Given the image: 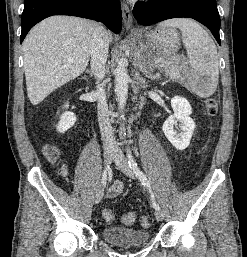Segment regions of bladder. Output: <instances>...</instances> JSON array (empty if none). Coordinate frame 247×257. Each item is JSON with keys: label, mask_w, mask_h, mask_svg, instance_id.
<instances>
[{"label": "bladder", "mask_w": 247, "mask_h": 257, "mask_svg": "<svg viewBox=\"0 0 247 257\" xmlns=\"http://www.w3.org/2000/svg\"><path fill=\"white\" fill-rule=\"evenodd\" d=\"M101 235L106 242L123 247L143 245L151 238V234L147 230H136L117 226L102 229Z\"/></svg>", "instance_id": "31cf9c89"}]
</instances>
